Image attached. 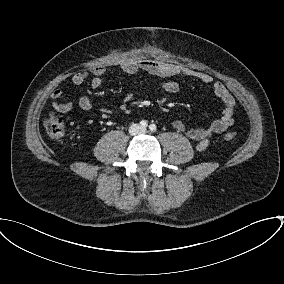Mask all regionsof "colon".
<instances>
[{
	"label": "colon",
	"mask_w": 284,
	"mask_h": 284,
	"mask_svg": "<svg viewBox=\"0 0 284 284\" xmlns=\"http://www.w3.org/2000/svg\"><path fill=\"white\" fill-rule=\"evenodd\" d=\"M46 132L55 139H60L65 133V120L62 115L52 112L44 121ZM236 137L234 132H228L224 135L226 141H232Z\"/></svg>",
	"instance_id": "colon-1"
}]
</instances>
